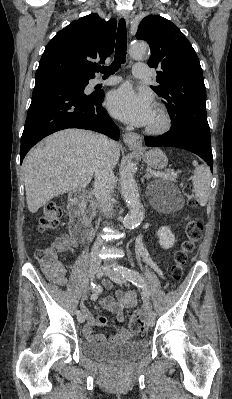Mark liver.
I'll list each match as a JSON object with an SVG mask.
<instances>
[{
    "mask_svg": "<svg viewBox=\"0 0 232 399\" xmlns=\"http://www.w3.org/2000/svg\"><path fill=\"white\" fill-rule=\"evenodd\" d=\"M95 136L86 130H62L30 150L22 164L29 211L35 213L55 196L90 184L102 150ZM109 150L114 168L120 156L118 144Z\"/></svg>",
    "mask_w": 232,
    "mask_h": 399,
    "instance_id": "obj_1",
    "label": "liver"
}]
</instances>
